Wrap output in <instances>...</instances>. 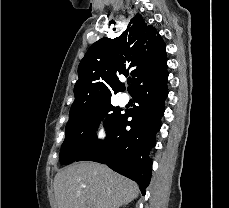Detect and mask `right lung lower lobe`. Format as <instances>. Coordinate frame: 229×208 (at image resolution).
<instances>
[{
  "mask_svg": "<svg viewBox=\"0 0 229 208\" xmlns=\"http://www.w3.org/2000/svg\"><path fill=\"white\" fill-rule=\"evenodd\" d=\"M167 64L163 71L138 86L131 95L138 106L122 114L117 126L103 141L81 155L76 161H94L137 182L143 195L151 178L149 152L156 144L161 127L167 90ZM132 118L128 121L129 118ZM130 130H126V126Z\"/></svg>",
  "mask_w": 229,
  "mask_h": 208,
  "instance_id": "right-lung-lower-lobe-1",
  "label": "right lung lower lobe"
}]
</instances>
